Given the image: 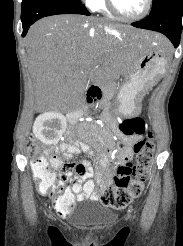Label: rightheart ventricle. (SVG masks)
<instances>
[{"mask_svg": "<svg viewBox=\"0 0 183 246\" xmlns=\"http://www.w3.org/2000/svg\"><path fill=\"white\" fill-rule=\"evenodd\" d=\"M93 10L101 12L105 15L111 16L112 13L109 11L106 1L105 0H98L95 6L93 7Z\"/></svg>", "mask_w": 183, "mask_h": 246, "instance_id": "1", "label": "right heart ventricle"}]
</instances>
